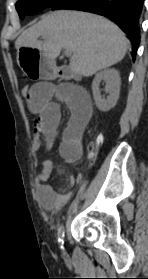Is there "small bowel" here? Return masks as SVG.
<instances>
[{
    "instance_id": "c3829d8e",
    "label": "small bowel",
    "mask_w": 148,
    "mask_h": 279,
    "mask_svg": "<svg viewBox=\"0 0 148 279\" xmlns=\"http://www.w3.org/2000/svg\"><path fill=\"white\" fill-rule=\"evenodd\" d=\"M26 99L35 116L31 146L34 153L39 151L42 143L48 149L53 146L61 118L60 104L64 103L70 108L72 116L62 135L59 152L65 162H77L83 155L84 133L93 113L88 93L73 84L39 82L31 87ZM56 171L53 162L45 161L35 181L37 198L46 209L62 207L71 198V189L81 180L80 176L68 175L62 178L61 186L57 188L48 183L50 176Z\"/></svg>"
}]
</instances>
